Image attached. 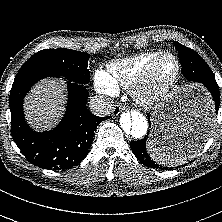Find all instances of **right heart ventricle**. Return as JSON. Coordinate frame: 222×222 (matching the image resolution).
Returning a JSON list of instances; mask_svg holds the SVG:
<instances>
[{
  "label": "right heart ventricle",
  "instance_id": "obj_1",
  "mask_svg": "<svg viewBox=\"0 0 222 222\" xmlns=\"http://www.w3.org/2000/svg\"><path fill=\"white\" fill-rule=\"evenodd\" d=\"M160 53V51L143 52L113 61L108 65L105 73L117 90L120 87H130L140 77L146 66Z\"/></svg>",
  "mask_w": 222,
  "mask_h": 222
}]
</instances>
